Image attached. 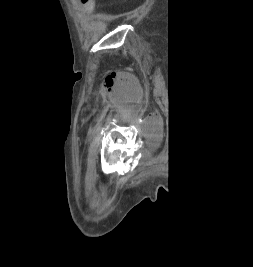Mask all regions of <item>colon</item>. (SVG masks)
Wrapping results in <instances>:
<instances>
[{
  "label": "colon",
  "mask_w": 253,
  "mask_h": 267,
  "mask_svg": "<svg viewBox=\"0 0 253 267\" xmlns=\"http://www.w3.org/2000/svg\"><path fill=\"white\" fill-rule=\"evenodd\" d=\"M80 1L89 11L93 10L94 0H80Z\"/></svg>",
  "instance_id": "colon-1"
}]
</instances>
